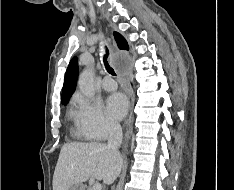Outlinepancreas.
Instances as JSON below:
<instances>
[{"label": "pancreas", "instance_id": "cf45deb5", "mask_svg": "<svg viewBox=\"0 0 234 190\" xmlns=\"http://www.w3.org/2000/svg\"><path fill=\"white\" fill-rule=\"evenodd\" d=\"M87 190H92V187H89Z\"/></svg>", "mask_w": 234, "mask_h": 190}]
</instances>
